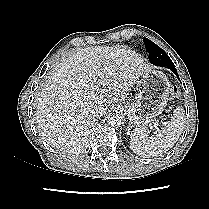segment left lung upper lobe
<instances>
[{"instance_id":"5c2ea615","label":"left lung upper lobe","mask_w":209,"mask_h":209,"mask_svg":"<svg viewBox=\"0 0 209 209\" xmlns=\"http://www.w3.org/2000/svg\"><path fill=\"white\" fill-rule=\"evenodd\" d=\"M145 47L149 53V60L153 65L176 69L169 56L151 40L144 39Z\"/></svg>"}]
</instances>
